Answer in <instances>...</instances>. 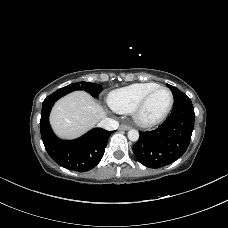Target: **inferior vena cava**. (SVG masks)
<instances>
[{
  "instance_id": "inferior-vena-cava-1",
  "label": "inferior vena cava",
  "mask_w": 228,
  "mask_h": 228,
  "mask_svg": "<svg viewBox=\"0 0 228 228\" xmlns=\"http://www.w3.org/2000/svg\"><path fill=\"white\" fill-rule=\"evenodd\" d=\"M98 127L112 131L116 130L119 127V123L112 118H104L98 123Z\"/></svg>"
}]
</instances>
